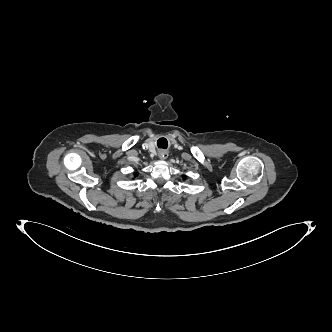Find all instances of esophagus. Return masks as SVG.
Wrapping results in <instances>:
<instances>
[{
	"label": "esophagus",
	"mask_w": 332,
	"mask_h": 332,
	"mask_svg": "<svg viewBox=\"0 0 332 332\" xmlns=\"http://www.w3.org/2000/svg\"><path fill=\"white\" fill-rule=\"evenodd\" d=\"M159 158H160V159H165V158H167V152H165V151H161V152L159 153Z\"/></svg>",
	"instance_id": "obj_1"
}]
</instances>
